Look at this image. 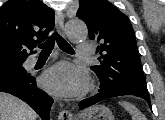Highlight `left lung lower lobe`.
Returning a JSON list of instances; mask_svg holds the SVG:
<instances>
[{"label":"left lung lower lobe","mask_w":165,"mask_h":120,"mask_svg":"<svg viewBox=\"0 0 165 120\" xmlns=\"http://www.w3.org/2000/svg\"><path fill=\"white\" fill-rule=\"evenodd\" d=\"M123 95H134L137 97H141V98L145 99L148 102L149 106L151 107L150 96L133 94V93H105V92H100V93H98V94H96L90 98L82 100L79 103V108L81 110H83L89 106L96 104L97 102L103 101V100L108 99V98L123 96Z\"/></svg>","instance_id":"1"}]
</instances>
